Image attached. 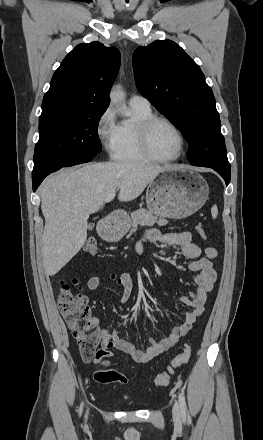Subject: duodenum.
<instances>
[{"label": "duodenum", "instance_id": "obj_1", "mask_svg": "<svg viewBox=\"0 0 263 440\" xmlns=\"http://www.w3.org/2000/svg\"><path fill=\"white\" fill-rule=\"evenodd\" d=\"M114 220H115V219L113 218V221H114ZM106 226H108L107 223L103 224V225L100 227V232H101V234H104V230H105Z\"/></svg>", "mask_w": 263, "mask_h": 440}]
</instances>
